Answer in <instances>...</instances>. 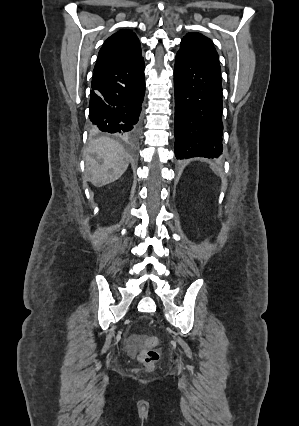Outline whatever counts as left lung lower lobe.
<instances>
[{
	"mask_svg": "<svg viewBox=\"0 0 299 426\" xmlns=\"http://www.w3.org/2000/svg\"><path fill=\"white\" fill-rule=\"evenodd\" d=\"M175 155L217 158L222 154V79L207 59L183 50L176 54Z\"/></svg>",
	"mask_w": 299,
	"mask_h": 426,
	"instance_id": "0a47b994",
	"label": "left lung lower lobe"
}]
</instances>
